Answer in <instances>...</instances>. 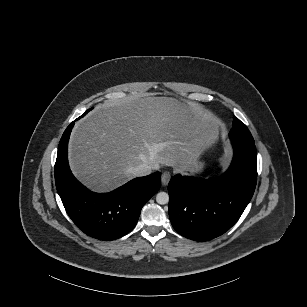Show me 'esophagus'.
Instances as JSON below:
<instances>
[{
    "instance_id": "1",
    "label": "esophagus",
    "mask_w": 307,
    "mask_h": 307,
    "mask_svg": "<svg viewBox=\"0 0 307 307\" xmlns=\"http://www.w3.org/2000/svg\"><path fill=\"white\" fill-rule=\"evenodd\" d=\"M171 178V173L168 171L163 172L162 176H161V182L163 185H167L168 182L170 181Z\"/></svg>"
}]
</instances>
